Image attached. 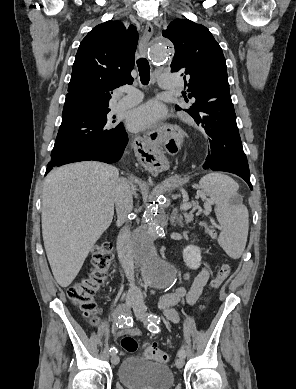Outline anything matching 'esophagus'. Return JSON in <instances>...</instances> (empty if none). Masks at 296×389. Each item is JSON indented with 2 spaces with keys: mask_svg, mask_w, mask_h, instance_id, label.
<instances>
[{
  "mask_svg": "<svg viewBox=\"0 0 296 389\" xmlns=\"http://www.w3.org/2000/svg\"><path fill=\"white\" fill-rule=\"evenodd\" d=\"M153 25L147 22L145 30L140 38L138 53L145 55L149 40L153 34ZM180 122L176 118H170L162 126H156L144 131L141 135H134L132 145L137 149L138 160L143 169H166L168 167L164 152L154 144L153 138L171 139L173 131L178 130Z\"/></svg>",
  "mask_w": 296,
  "mask_h": 389,
  "instance_id": "1",
  "label": "esophagus"
}]
</instances>
